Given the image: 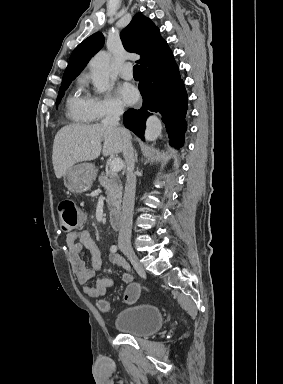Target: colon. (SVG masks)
I'll use <instances>...</instances> for the list:
<instances>
[{
	"instance_id": "colon-1",
	"label": "colon",
	"mask_w": 283,
	"mask_h": 384,
	"mask_svg": "<svg viewBox=\"0 0 283 384\" xmlns=\"http://www.w3.org/2000/svg\"><path fill=\"white\" fill-rule=\"evenodd\" d=\"M60 217L61 228L65 232H73L79 229L84 223V215L71 199H63L57 207ZM140 288L137 284H131L127 287L124 299L127 303H133L137 300ZM98 308L101 312L107 313L111 310V304L107 300H99Z\"/></svg>"
}]
</instances>
